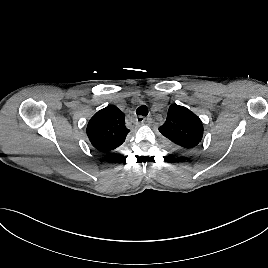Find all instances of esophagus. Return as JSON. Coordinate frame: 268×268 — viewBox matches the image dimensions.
Segmentation results:
<instances>
[{
    "label": "esophagus",
    "mask_w": 268,
    "mask_h": 268,
    "mask_svg": "<svg viewBox=\"0 0 268 268\" xmlns=\"http://www.w3.org/2000/svg\"><path fill=\"white\" fill-rule=\"evenodd\" d=\"M148 120H149V119H146V118L143 117V116H138V117L136 118V122L139 123V124H141V125L145 124Z\"/></svg>",
    "instance_id": "esophagus-1"
}]
</instances>
